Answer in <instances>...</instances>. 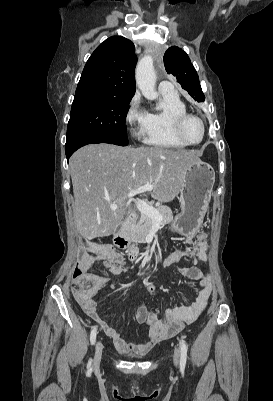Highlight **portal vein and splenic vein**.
<instances>
[{
  "label": "portal vein and splenic vein",
  "instance_id": "1",
  "mask_svg": "<svg viewBox=\"0 0 273 401\" xmlns=\"http://www.w3.org/2000/svg\"><path fill=\"white\" fill-rule=\"evenodd\" d=\"M146 190H153V184H144V186H139V188H134V190H130V192H128V198H131V196H135V194H139V192H146ZM136 207L138 211H140V213H143V215H147V217H151L154 223H160V221H162L163 219L162 215H160L157 209H154V207H149V205H146L144 201H140V198H138ZM111 209H117V205H111Z\"/></svg>",
  "mask_w": 273,
  "mask_h": 401
}]
</instances>
